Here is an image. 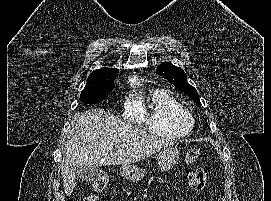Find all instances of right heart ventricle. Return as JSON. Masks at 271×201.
Listing matches in <instances>:
<instances>
[{"label": "right heart ventricle", "instance_id": "right-heart-ventricle-1", "mask_svg": "<svg viewBox=\"0 0 271 201\" xmlns=\"http://www.w3.org/2000/svg\"><path fill=\"white\" fill-rule=\"evenodd\" d=\"M143 118L148 131L161 137L186 136L194 127V118L189 109L164 90L154 91L150 110L143 113Z\"/></svg>", "mask_w": 271, "mask_h": 201}]
</instances>
